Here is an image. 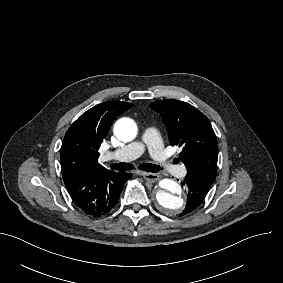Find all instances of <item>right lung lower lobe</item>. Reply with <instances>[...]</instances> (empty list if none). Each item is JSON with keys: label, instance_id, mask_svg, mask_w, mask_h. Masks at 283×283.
Masks as SVG:
<instances>
[{"label": "right lung lower lobe", "instance_id": "obj_1", "mask_svg": "<svg viewBox=\"0 0 283 283\" xmlns=\"http://www.w3.org/2000/svg\"><path fill=\"white\" fill-rule=\"evenodd\" d=\"M131 176L110 170L84 172L71 176L64 183L78 209L89 216L100 217L115 207L124 183Z\"/></svg>", "mask_w": 283, "mask_h": 283}]
</instances>
